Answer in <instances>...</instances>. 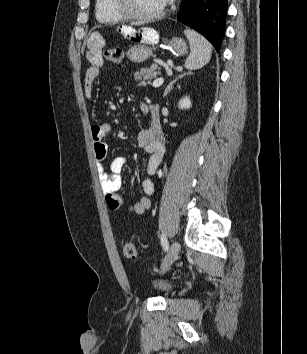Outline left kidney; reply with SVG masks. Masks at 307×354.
<instances>
[{"label": "left kidney", "instance_id": "obj_1", "mask_svg": "<svg viewBox=\"0 0 307 354\" xmlns=\"http://www.w3.org/2000/svg\"><path fill=\"white\" fill-rule=\"evenodd\" d=\"M191 105H192L191 100L188 96L183 97L178 103L179 109H182V110L189 109L191 107Z\"/></svg>", "mask_w": 307, "mask_h": 354}]
</instances>
